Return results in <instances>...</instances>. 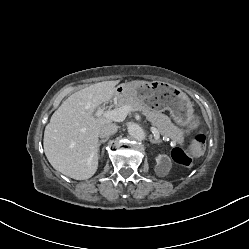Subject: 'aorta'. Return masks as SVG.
I'll list each match as a JSON object with an SVG mask.
<instances>
[{"label": "aorta", "mask_w": 249, "mask_h": 249, "mask_svg": "<svg viewBox=\"0 0 249 249\" xmlns=\"http://www.w3.org/2000/svg\"><path fill=\"white\" fill-rule=\"evenodd\" d=\"M128 133L131 137L138 141H142L145 139V132L144 130L137 124L130 123L128 125Z\"/></svg>", "instance_id": "1"}]
</instances>
